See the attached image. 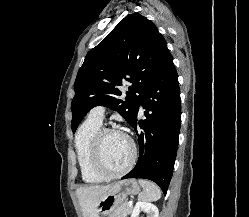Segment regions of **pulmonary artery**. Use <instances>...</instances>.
<instances>
[{
    "label": "pulmonary artery",
    "instance_id": "1",
    "mask_svg": "<svg viewBox=\"0 0 249 217\" xmlns=\"http://www.w3.org/2000/svg\"><path fill=\"white\" fill-rule=\"evenodd\" d=\"M89 116L102 122L105 117V108L103 106H96L90 111Z\"/></svg>",
    "mask_w": 249,
    "mask_h": 217
}]
</instances>
